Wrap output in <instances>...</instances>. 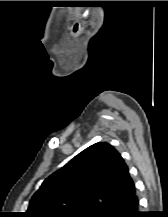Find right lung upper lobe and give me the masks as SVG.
<instances>
[{
	"label": "right lung upper lobe",
	"instance_id": "right-lung-upper-lobe-1",
	"mask_svg": "<svg viewBox=\"0 0 168 217\" xmlns=\"http://www.w3.org/2000/svg\"><path fill=\"white\" fill-rule=\"evenodd\" d=\"M136 192L128 166L106 142L91 145L49 176L24 217H98Z\"/></svg>",
	"mask_w": 168,
	"mask_h": 217
}]
</instances>
